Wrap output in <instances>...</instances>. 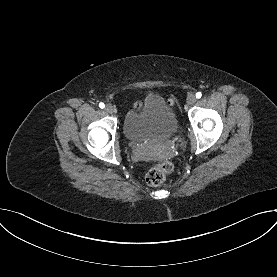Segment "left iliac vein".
<instances>
[{"instance_id":"1","label":"left iliac vein","mask_w":277,"mask_h":277,"mask_svg":"<svg viewBox=\"0 0 277 277\" xmlns=\"http://www.w3.org/2000/svg\"><path fill=\"white\" fill-rule=\"evenodd\" d=\"M196 102V97L194 94H189L187 97L188 105H193Z\"/></svg>"}]
</instances>
